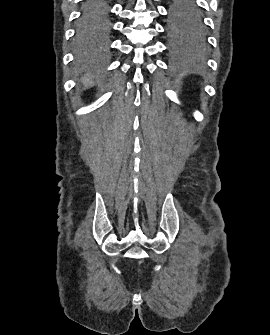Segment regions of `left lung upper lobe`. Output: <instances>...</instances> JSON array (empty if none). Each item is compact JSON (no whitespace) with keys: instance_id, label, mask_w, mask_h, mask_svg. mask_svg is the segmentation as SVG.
<instances>
[{"instance_id":"left-lung-upper-lobe-1","label":"left lung upper lobe","mask_w":270,"mask_h":335,"mask_svg":"<svg viewBox=\"0 0 270 335\" xmlns=\"http://www.w3.org/2000/svg\"><path fill=\"white\" fill-rule=\"evenodd\" d=\"M196 0H176L170 9L171 30L175 33L200 29L202 26L201 8Z\"/></svg>"}]
</instances>
